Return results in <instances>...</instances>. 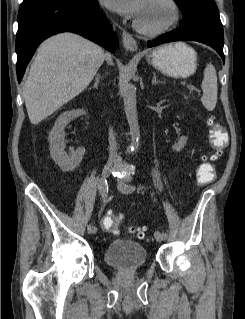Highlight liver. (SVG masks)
<instances>
[{
    "label": "liver",
    "instance_id": "liver-1",
    "mask_svg": "<svg viewBox=\"0 0 245 319\" xmlns=\"http://www.w3.org/2000/svg\"><path fill=\"white\" fill-rule=\"evenodd\" d=\"M104 60L112 63L100 46L73 33L44 41L23 87L30 122L38 124L84 91Z\"/></svg>",
    "mask_w": 245,
    "mask_h": 319
}]
</instances>
